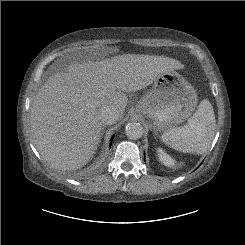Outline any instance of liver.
<instances>
[{"label":"liver","mask_w":245,"mask_h":245,"mask_svg":"<svg viewBox=\"0 0 245 245\" xmlns=\"http://www.w3.org/2000/svg\"><path fill=\"white\" fill-rule=\"evenodd\" d=\"M172 58L124 54L101 61L73 63L52 75L33 98L30 127L43 160L58 170L89 162L100 143V108L114 106L122 117L128 98L162 73L182 69Z\"/></svg>","instance_id":"obj_1"}]
</instances>
